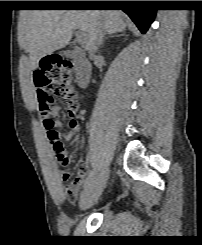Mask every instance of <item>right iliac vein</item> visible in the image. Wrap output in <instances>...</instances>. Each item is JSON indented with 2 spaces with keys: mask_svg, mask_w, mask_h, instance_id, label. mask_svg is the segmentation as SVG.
Here are the masks:
<instances>
[{
  "mask_svg": "<svg viewBox=\"0 0 202 245\" xmlns=\"http://www.w3.org/2000/svg\"><path fill=\"white\" fill-rule=\"evenodd\" d=\"M108 169L82 193L80 198V208L86 210L91 207L100 197L103 187L108 178Z\"/></svg>",
  "mask_w": 202,
  "mask_h": 245,
  "instance_id": "63e3f726",
  "label": "right iliac vein"
}]
</instances>
